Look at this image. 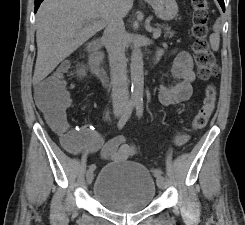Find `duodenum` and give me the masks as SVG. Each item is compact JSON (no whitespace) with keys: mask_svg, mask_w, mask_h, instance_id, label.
<instances>
[{"mask_svg":"<svg viewBox=\"0 0 245 225\" xmlns=\"http://www.w3.org/2000/svg\"><path fill=\"white\" fill-rule=\"evenodd\" d=\"M89 54V68L92 74L97 76H103L104 71L102 69L103 54L100 51V45L97 42H92L87 47ZM158 58L156 54L153 61Z\"/></svg>","mask_w":245,"mask_h":225,"instance_id":"duodenum-1","label":"duodenum"}]
</instances>
